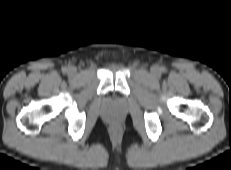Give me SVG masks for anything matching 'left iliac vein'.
Instances as JSON below:
<instances>
[{"mask_svg": "<svg viewBox=\"0 0 231 170\" xmlns=\"http://www.w3.org/2000/svg\"><path fill=\"white\" fill-rule=\"evenodd\" d=\"M151 73H152V75H154V76H159V75H160L159 67H157V66L152 67Z\"/></svg>", "mask_w": 231, "mask_h": 170, "instance_id": "1", "label": "left iliac vein"}]
</instances>
